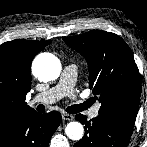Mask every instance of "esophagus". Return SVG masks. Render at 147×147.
<instances>
[{
  "label": "esophagus",
  "mask_w": 147,
  "mask_h": 147,
  "mask_svg": "<svg viewBox=\"0 0 147 147\" xmlns=\"http://www.w3.org/2000/svg\"><path fill=\"white\" fill-rule=\"evenodd\" d=\"M73 118H74V117H73V115H71V114H66V113L62 114V119H63V120L72 121Z\"/></svg>",
  "instance_id": "1"
}]
</instances>
